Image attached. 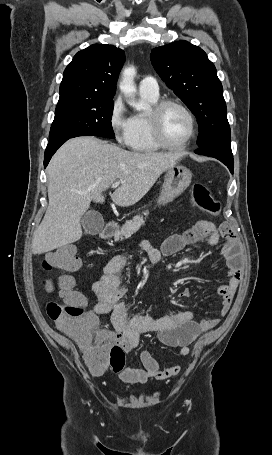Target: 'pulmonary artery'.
I'll return each instance as SVG.
<instances>
[{
  "mask_svg": "<svg viewBox=\"0 0 272 455\" xmlns=\"http://www.w3.org/2000/svg\"><path fill=\"white\" fill-rule=\"evenodd\" d=\"M139 91L141 94L159 95V86L156 79L152 76L144 77L139 83Z\"/></svg>",
  "mask_w": 272,
  "mask_h": 455,
  "instance_id": "1",
  "label": "pulmonary artery"
}]
</instances>
